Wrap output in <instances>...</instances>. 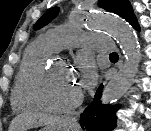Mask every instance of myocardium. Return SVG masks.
<instances>
[{
	"instance_id": "myocardium-1",
	"label": "myocardium",
	"mask_w": 151,
	"mask_h": 131,
	"mask_svg": "<svg viewBox=\"0 0 151 131\" xmlns=\"http://www.w3.org/2000/svg\"><path fill=\"white\" fill-rule=\"evenodd\" d=\"M59 61L56 58H48L36 71L30 83V95L37 105L42 110L52 113H64L75 109L80 105L83 95L78 92L75 97L62 103L54 104L48 101L43 92V83L54 67V64ZM61 61V60H60ZM66 65L64 61H61Z\"/></svg>"
}]
</instances>
